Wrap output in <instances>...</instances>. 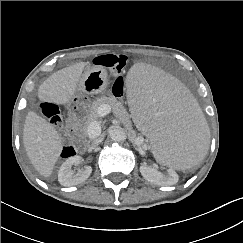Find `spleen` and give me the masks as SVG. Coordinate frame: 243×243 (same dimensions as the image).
<instances>
[{
    "label": "spleen",
    "mask_w": 243,
    "mask_h": 243,
    "mask_svg": "<svg viewBox=\"0 0 243 243\" xmlns=\"http://www.w3.org/2000/svg\"><path fill=\"white\" fill-rule=\"evenodd\" d=\"M125 87L135 124L156 159L175 172L192 170L210 139L196 98L175 77L148 64L133 67Z\"/></svg>",
    "instance_id": "3e777b00"
}]
</instances>
